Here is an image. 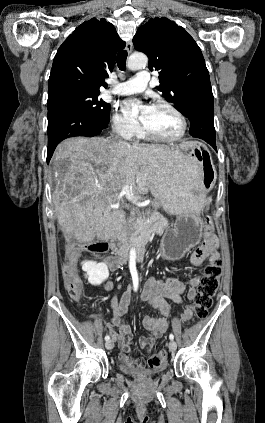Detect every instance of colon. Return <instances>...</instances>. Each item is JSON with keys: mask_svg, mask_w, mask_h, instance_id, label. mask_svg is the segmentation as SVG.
<instances>
[{"mask_svg": "<svg viewBox=\"0 0 265 423\" xmlns=\"http://www.w3.org/2000/svg\"><path fill=\"white\" fill-rule=\"evenodd\" d=\"M213 234V228L207 223L204 231L205 238H209ZM87 251L92 253H105L109 250V243L104 240L91 242L85 245ZM222 275V262L216 258L209 262L206 267L205 275L201 279L199 290L195 297L194 316L196 320H203L207 317L209 309L213 304L219 281ZM64 285L69 295L73 299H80L83 296V285L75 270V263L70 261L66 266L64 273ZM167 358V352L161 349L153 353L147 360L149 368L162 366Z\"/></svg>", "mask_w": 265, "mask_h": 423, "instance_id": "colon-1", "label": "colon"}]
</instances>
